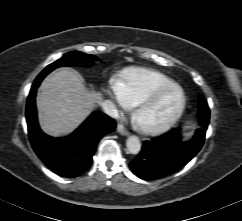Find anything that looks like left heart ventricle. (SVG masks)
Wrapping results in <instances>:
<instances>
[{
  "label": "left heart ventricle",
  "mask_w": 242,
  "mask_h": 221,
  "mask_svg": "<svg viewBox=\"0 0 242 221\" xmlns=\"http://www.w3.org/2000/svg\"><path fill=\"white\" fill-rule=\"evenodd\" d=\"M179 95L171 92L164 96L158 104L149 109L141 118L143 124L153 125L163 121L176 108Z\"/></svg>",
  "instance_id": "1"
}]
</instances>
